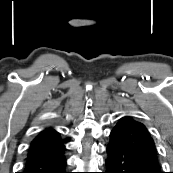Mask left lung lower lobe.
Wrapping results in <instances>:
<instances>
[{
  "label": "left lung lower lobe",
  "instance_id": "0a47b994",
  "mask_svg": "<svg viewBox=\"0 0 173 173\" xmlns=\"http://www.w3.org/2000/svg\"><path fill=\"white\" fill-rule=\"evenodd\" d=\"M106 150L108 157L104 173H162L157 157L114 142H109Z\"/></svg>",
  "mask_w": 173,
  "mask_h": 173
}]
</instances>
